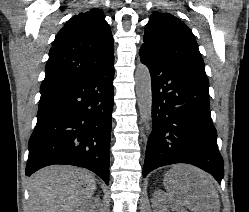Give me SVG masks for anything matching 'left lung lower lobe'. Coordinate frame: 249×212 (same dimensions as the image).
<instances>
[{
    "label": "left lung lower lobe",
    "mask_w": 249,
    "mask_h": 212,
    "mask_svg": "<svg viewBox=\"0 0 249 212\" xmlns=\"http://www.w3.org/2000/svg\"><path fill=\"white\" fill-rule=\"evenodd\" d=\"M140 59L149 68L152 83V131L143 176L161 166L187 163L221 182L224 162L209 111L207 76L164 59Z\"/></svg>",
    "instance_id": "left-lung-lower-lobe-1"
}]
</instances>
